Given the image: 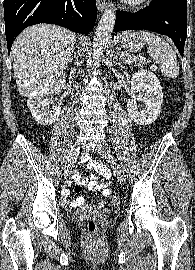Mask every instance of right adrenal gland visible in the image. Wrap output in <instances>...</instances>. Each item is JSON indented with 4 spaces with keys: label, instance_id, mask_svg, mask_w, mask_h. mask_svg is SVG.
I'll return each instance as SVG.
<instances>
[{
    "label": "right adrenal gland",
    "instance_id": "1",
    "mask_svg": "<svg viewBox=\"0 0 195 270\" xmlns=\"http://www.w3.org/2000/svg\"><path fill=\"white\" fill-rule=\"evenodd\" d=\"M80 56V48L77 47V51L74 52V57L71 58L70 62H72L73 59H77V57Z\"/></svg>",
    "mask_w": 195,
    "mask_h": 270
}]
</instances>
